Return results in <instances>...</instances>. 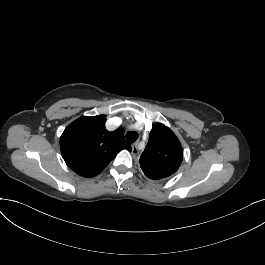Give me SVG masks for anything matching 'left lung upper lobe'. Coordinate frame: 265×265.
Listing matches in <instances>:
<instances>
[{"label":"left lung upper lobe","mask_w":265,"mask_h":265,"mask_svg":"<svg viewBox=\"0 0 265 265\" xmlns=\"http://www.w3.org/2000/svg\"><path fill=\"white\" fill-rule=\"evenodd\" d=\"M182 159V147L176 135L165 125L155 124L139 159L144 174L152 180L169 177L178 170Z\"/></svg>","instance_id":"1"}]
</instances>
